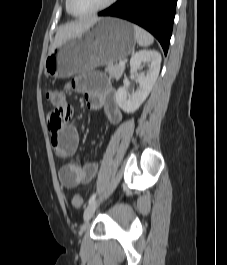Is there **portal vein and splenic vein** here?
I'll use <instances>...</instances> for the list:
<instances>
[{"instance_id":"obj_1","label":"portal vein and splenic vein","mask_w":227,"mask_h":265,"mask_svg":"<svg viewBox=\"0 0 227 265\" xmlns=\"http://www.w3.org/2000/svg\"><path fill=\"white\" fill-rule=\"evenodd\" d=\"M119 66L124 67L125 66V62L124 61L119 62Z\"/></svg>"}]
</instances>
